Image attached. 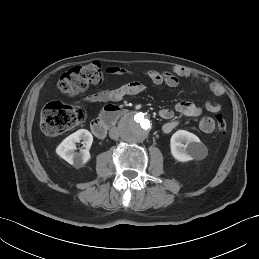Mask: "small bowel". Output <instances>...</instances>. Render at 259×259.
I'll use <instances>...</instances> for the list:
<instances>
[{"label":"small bowel","mask_w":259,"mask_h":259,"mask_svg":"<svg viewBox=\"0 0 259 259\" xmlns=\"http://www.w3.org/2000/svg\"><path fill=\"white\" fill-rule=\"evenodd\" d=\"M107 71L110 74L124 76L128 74V71L119 66L109 67ZM146 77L151 81L154 86L165 85L170 88L177 87L179 84L180 78H196L200 79L203 82H208V79L198 75L193 72L191 69L184 66H174L169 71L159 72L155 70H149L145 72ZM210 89L216 95H222L224 93V88L216 83L210 82ZM145 86L139 81H131L124 83L117 87H102L98 90H95L89 94L84 101L86 103H98V102H117L123 98L131 95H136L143 92ZM205 108L209 112H217L220 109V104L216 102L205 103ZM175 110L182 116L185 117H199L202 115V108L197 104L190 101H180L175 105ZM159 115L162 119L167 120L163 125V133H170L177 125L178 121L174 120V112L171 109L164 108L161 109ZM199 128L202 132L210 134L215 129V122L211 117L204 116L200 119Z\"/></svg>","instance_id":"small-bowel-1"}]
</instances>
